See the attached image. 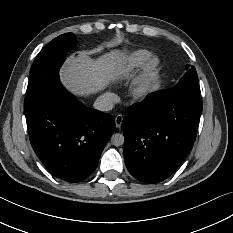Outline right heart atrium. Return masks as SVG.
<instances>
[{
    "label": "right heart atrium",
    "instance_id": "right-heart-atrium-1",
    "mask_svg": "<svg viewBox=\"0 0 233 233\" xmlns=\"http://www.w3.org/2000/svg\"><path fill=\"white\" fill-rule=\"evenodd\" d=\"M107 97L114 102L116 100V96L113 93H107Z\"/></svg>",
    "mask_w": 233,
    "mask_h": 233
}]
</instances>
